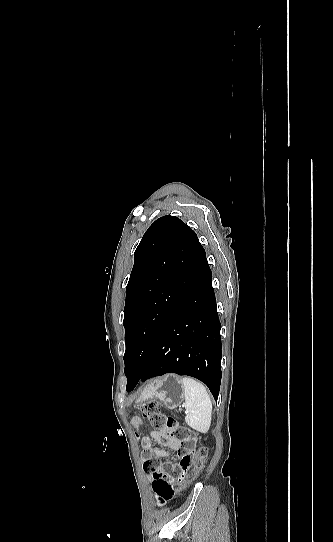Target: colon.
I'll return each instance as SVG.
<instances>
[{
    "label": "colon",
    "instance_id": "colon-1",
    "mask_svg": "<svg viewBox=\"0 0 333 542\" xmlns=\"http://www.w3.org/2000/svg\"><path fill=\"white\" fill-rule=\"evenodd\" d=\"M141 412L157 433H162L164 439L180 443L184 449L182 456L181 453H178V456H181V471L178 473L175 472L168 460L148 458L144 462V471L156 478L152 484L156 500L159 505H164L174 496V486L180 490L186 488L187 482L191 479L187 476L188 471L192 469L197 472L202 468L208 449L200 444L197 433L190 427L176 422L173 416L162 413L157 401L151 400L143 403Z\"/></svg>",
    "mask_w": 333,
    "mask_h": 542
}]
</instances>
